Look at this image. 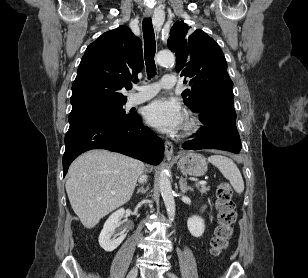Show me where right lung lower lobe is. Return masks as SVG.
Here are the masks:
<instances>
[{
  "instance_id": "obj_1",
  "label": "right lung lower lobe",
  "mask_w": 308,
  "mask_h": 278,
  "mask_svg": "<svg viewBox=\"0 0 308 278\" xmlns=\"http://www.w3.org/2000/svg\"><path fill=\"white\" fill-rule=\"evenodd\" d=\"M65 145L64 176L78 155L92 149L119 152L153 165H157L164 156L163 141L143 126L138 114L128 120L85 118L70 122Z\"/></svg>"
}]
</instances>
